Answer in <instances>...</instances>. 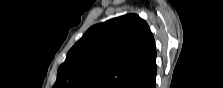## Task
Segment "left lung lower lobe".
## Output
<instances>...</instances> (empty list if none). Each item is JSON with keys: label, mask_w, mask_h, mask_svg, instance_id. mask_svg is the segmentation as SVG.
Wrapping results in <instances>:
<instances>
[{"label": "left lung lower lobe", "mask_w": 223, "mask_h": 88, "mask_svg": "<svg viewBox=\"0 0 223 88\" xmlns=\"http://www.w3.org/2000/svg\"><path fill=\"white\" fill-rule=\"evenodd\" d=\"M156 66L152 68L144 77L139 79L130 88H155Z\"/></svg>", "instance_id": "0a47b994"}]
</instances>
